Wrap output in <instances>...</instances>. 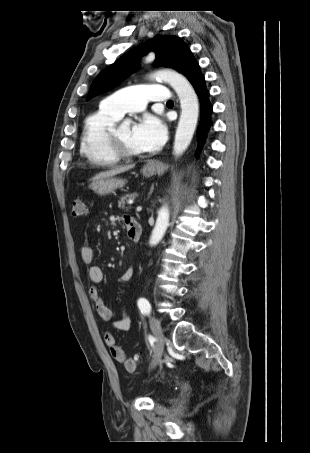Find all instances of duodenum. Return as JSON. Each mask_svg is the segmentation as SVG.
Listing matches in <instances>:
<instances>
[{
  "label": "duodenum",
  "instance_id": "duodenum-1",
  "mask_svg": "<svg viewBox=\"0 0 310 453\" xmlns=\"http://www.w3.org/2000/svg\"><path fill=\"white\" fill-rule=\"evenodd\" d=\"M127 235L132 242H137L141 236V225L135 220L127 225Z\"/></svg>",
  "mask_w": 310,
  "mask_h": 453
}]
</instances>
